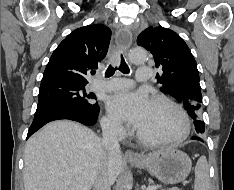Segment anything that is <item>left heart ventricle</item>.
<instances>
[{"label":"left heart ventricle","instance_id":"obj_1","mask_svg":"<svg viewBox=\"0 0 234 190\" xmlns=\"http://www.w3.org/2000/svg\"><path fill=\"white\" fill-rule=\"evenodd\" d=\"M137 129L147 137H172L180 133L182 123L170 106L161 102H151L148 114Z\"/></svg>","mask_w":234,"mask_h":190}]
</instances>
